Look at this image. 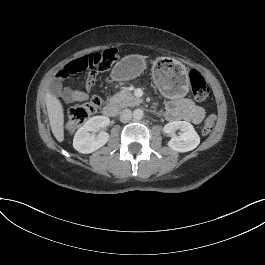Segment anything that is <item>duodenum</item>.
Wrapping results in <instances>:
<instances>
[{"instance_id": "1", "label": "duodenum", "mask_w": 265, "mask_h": 265, "mask_svg": "<svg viewBox=\"0 0 265 265\" xmlns=\"http://www.w3.org/2000/svg\"><path fill=\"white\" fill-rule=\"evenodd\" d=\"M118 112H119V108L113 102L106 104L103 108V115L109 118L115 117L118 114Z\"/></svg>"}]
</instances>
